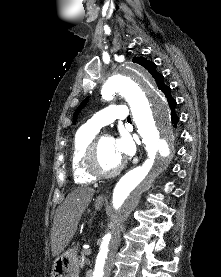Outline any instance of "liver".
Masks as SVG:
<instances>
[{"label": "liver", "mask_w": 221, "mask_h": 277, "mask_svg": "<svg viewBox=\"0 0 221 277\" xmlns=\"http://www.w3.org/2000/svg\"><path fill=\"white\" fill-rule=\"evenodd\" d=\"M95 190L81 187L70 192L57 208L51 232L52 255L58 256L73 238L83 212L91 202Z\"/></svg>", "instance_id": "obj_1"}]
</instances>
